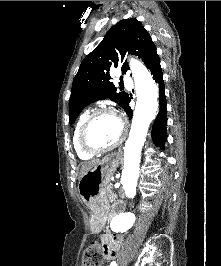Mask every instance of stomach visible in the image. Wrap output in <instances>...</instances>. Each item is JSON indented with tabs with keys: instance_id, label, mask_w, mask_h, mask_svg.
Returning a JSON list of instances; mask_svg holds the SVG:
<instances>
[{
	"instance_id": "obj_1",
	"label": "stomach",
	"mask_w": 221,
	"mask_h": 266,
	"mask_svg": "<svg viewBox=\"0 0 221 266\" xmlns=\"http://www.w3.org/2000/svg\"><path fill=\"white\" fill-rule=\"evenodd\" d=\"M119 161L116 154H108L79 179L78 192L83 203L91 210L90 226L93 230L104 221L108 208L106 186L110 183Z\"/></svg>"
}]
</instances>
